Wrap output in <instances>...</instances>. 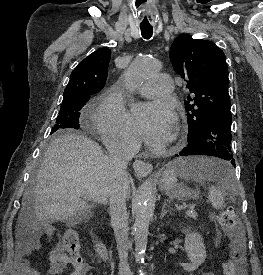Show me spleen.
<instances>
[{"mask_svg":"<svg viewBox=\"0 0 263 275\" xmlns=\"http://www.w3.org/2000/svg\"><path fill=\"white\" fill-rule=\"evenodd\" d=\"M177 175L185 180L204 184L208 180L216 181L211 186L209 200L213 208L221 209L226 194H236L238 181L229 162L207 157L179 158L170 164Z\"/></svg>","mask_w":263,"mask_h":275,"instance_id":"3e777b00","label":"spleen"}]
</instances>
